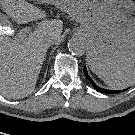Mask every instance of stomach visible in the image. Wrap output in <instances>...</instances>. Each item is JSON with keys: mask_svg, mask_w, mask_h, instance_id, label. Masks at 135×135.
<instances>
[{"mask_svg": "<svg viewBox=\"0 0 135 135\" xmlns=\"http://www.w3.org/2000/svg\"><path fill=\"white\" fill-rule=\"evenodd\" d=\"M52 3L81 24L88 63L95 74L111 75L135 65L133 0H38Z\"/></svg>", "mask_w": 135, "mask_h": 135, "instance_id": "0dacf381", "label": "stomach"}]
</instances>
